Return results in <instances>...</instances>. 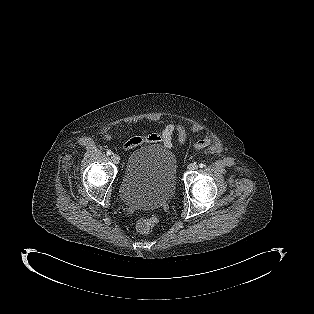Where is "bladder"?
<instances>
[{"label": "bladder", "mask_w": 314, "mask_h": 314, "mask_svg": "<svg viewBox=\"0 0 314 314\" xmlns=\"http://www.w3.org/2000/svg\"><path fill=\"white\" fill-rule=\"evenodd\" d=\"M177 162L167 148L148 145L133 151L120 184V198L134 208H157L176 191Z\"/></svg>", "instance_id": "obj_1"}]
</instances>
